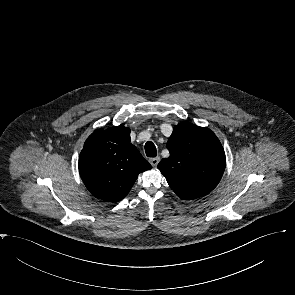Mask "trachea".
I'll return each mask as SVG.
<instances>
[{"label":"trachea","mask_w":295,"mask_h":295,"mask_svg":"<svg viewBox=\"0 0 295 295\" xmlns=\"http://www.w3.org/2000/svg\"><path fill=\"white\" fill-rule=\"evenodd\" d=\"M145 152L148 157H156L157 156V150H156V147L153 142H151V141L146 142Z\"/></svg>","instance_id":"obj_1"}]
</instances>
